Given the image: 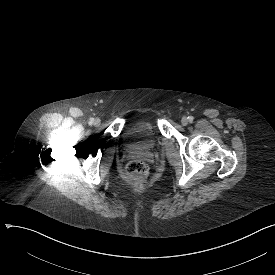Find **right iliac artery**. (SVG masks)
Wrapping results in <instances>:
<instances>
[{
  "label": "right iliac artery",
  "mask_w": 275,
  "mask_h": 275,
  "mask_svg": "<svg viewBox=\"0 0 275 275\" xmlns=\"http://www.w3.org/2000/svg\"><path fill=\"white\" fill-rule=\"evenodd\" d=\"M89 123L92 124L93 123V119H91Z\"/></svg>",
  "instance_id": "82829eb1"
}]
</instances>
